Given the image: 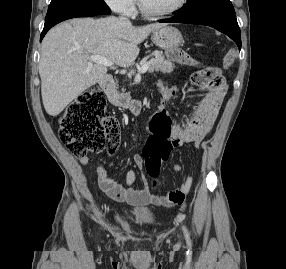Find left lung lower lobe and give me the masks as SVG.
Instances as JSON below:
<instances>
[{
  "instance_id": "obj_1",
  "label": "left lung lower lobe",
  "mask_w": 286,
  "mask_h": 269,
  "mask_svg": "<svg viewBox=\"0 0 286 269\" xmlns=\"http://www.w3.org/2000/svg\"><path fill=\"white\" fill-rule=\"evenodd\" d=\"M160 22H176L210 26L228 35L235 41L239 50L241 49L240 28L235 14L208 13L193 16H181L177 14L172 18L160 20Z\"/></svg>"
}]
</instances>
